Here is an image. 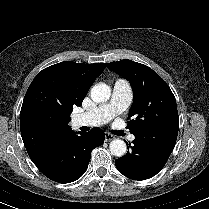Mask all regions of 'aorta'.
I'll return each mask as SVG.
<instances>
[{
    "label": "aorta",
    "instance_id": "1",
    "mask_svg": "<svg viewBox=\"0 0 209 209\" xmlns=\"http://www.w3.org/2000/svg\"><path fill=\"white\" fill-rule=\"evenodd\" d=\"M110 96L111 88L104 83H98L91 89V99L96 103L106 102ZM109 150L112 155L122 157L127 151V146L123 140L115 139L110 142Z\"/></svg>",
    "mask_w": 209,
    "mask_h": 209
}]
</instances>
